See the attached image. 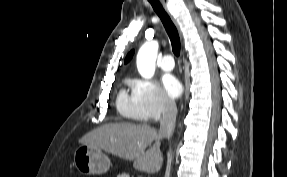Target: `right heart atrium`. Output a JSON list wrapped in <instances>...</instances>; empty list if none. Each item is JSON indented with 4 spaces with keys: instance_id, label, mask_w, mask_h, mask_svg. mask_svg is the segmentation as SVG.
<instances>
[{
    "instance_id": "d8ad5b80",
    "label": "right heart atrium",
    "mask_w": 287,
    "mask_h": 177,
    "mask_svg": "<svg viewBox=\"0 0 287 177\" xmlns=\"http://www.w3.org/2000/svg\"><path fill=\"white\" fill-rule=\"evenodd\" d=\"M132 94L136 103V115L141 121H156L174 110L173 100L153 80H136L132 86Z\"/></svg>"
}]
</instances>
